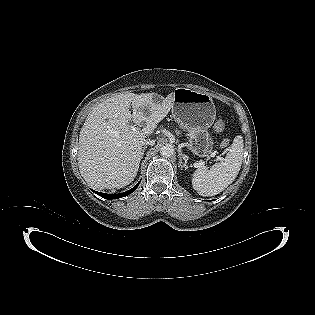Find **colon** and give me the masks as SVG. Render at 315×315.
Listing matches in <instances>:
<instances>
[{
	"label": "colon",
	"mask_w": 315,
	"mask_h": 315,
	"mask_svg": "<svg viewBox=\"0 0 315 315\" xmlns=\"http://www.w3.org/2000/svg\"><path fill=\"white\" fill-rule=\"evenodd\" d=\"M226 128V123L223 119H217L214 123V129L218 132H221L223 130H225ZM219 144L221 147L226 148L229 146L230 141L228 138L223 137L220 139Z\"/></svg>",
	"instance_id": "1"
}]
</instances>
